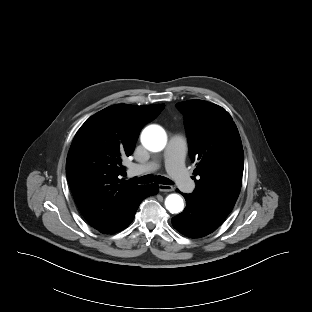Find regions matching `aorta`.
I'll return each instance as SVG.
<instances>
[{"mask_svg":"<svg viewBox=\"0 0 312 312\" xmlns=\"http://www.w3.org/2000/svg\"><path fill=\"white\" fill-rule=\"evenodd\" d=\"M166 140V133L159 126H149L144 129L141 135L143 146L151 152L163 150L166 145ZM165 206L170 213H179L184 208L183 199L177 194H170L165 200Z\"/></svg>","mask_w":312,"mask_h":312,"instance_id":"obj_1","label":"aorta"}]
</instances>
